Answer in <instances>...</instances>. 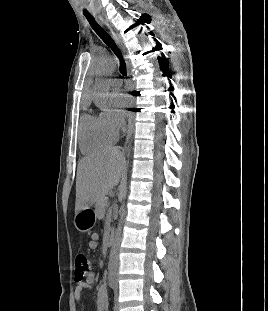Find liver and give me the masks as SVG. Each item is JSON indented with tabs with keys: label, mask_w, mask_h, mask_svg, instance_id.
<instances>
[{
	"label": "liver",
	"mask_w": 268,
	"mask_h": 311,
	"mask_svg": "<svg viewBox=\"0 0 268 311\" xmlns=\"http://www.w3.org/2000/svg\"><path fill=\"white\" fill-rule=\"evenodd\" d=\"M124 157L116 147L80 160L76 177L75 212L93 205L118 185Z\"/></svg>",
	"instance_id": "6515ba94"
}]
</instances>
